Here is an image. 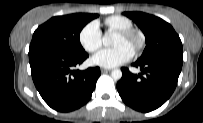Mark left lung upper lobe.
Masks as SVG:
<instances>
[{"label": "left lung upper lobe", "mask_w": 203, "mask_h": 123, "mask_svg": "<svg viewBox=\"0 0 203 123\" xmlns=\"http://www.w3.org/2000/svg\"><path fill=\"white\" fill-rule=\"evenodd\" d=\"M124 15L132 19L146 37V47L139 60L168 52H182V43L178 34L166 21L143 12H125Z\"/></svg>", "instance_id": "5c2ea615"}]
</instances>
